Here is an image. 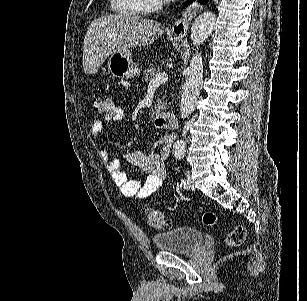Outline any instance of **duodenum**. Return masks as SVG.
<instances>
[{"label":"duodenum","mask_w":307,"mask_h":301,"mask_svg":"<svg viewBox=\"0 0 307 301\" xmlns=\"http://www.w3.org/2000/svg\"><path fill=\"white\" fill-rule=\"evenodd\" d=\"M155 124L159 128L172 130L177 126V118L173 112H164L156 117Z\"/></svg>","instance_id":"obj_1"}]
</instances>
